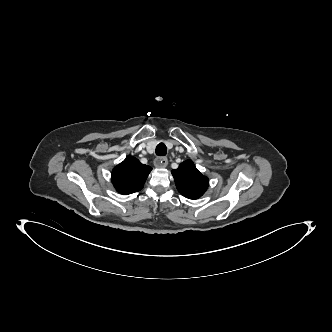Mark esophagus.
<instances>
[{
    "instance_id": "1",
    "label": "esophagus",
    "mask_w": 332,
    "mask_h": 332,
    "mask_svg": "<svg viewBox=\"0 0 332 332\" xmlns=\"http://www.w3.org/2000/svg\"><path fill=\"white\" fill-rule=\"evenodd\" d=\"M167 164H168V160L166 157H157L154 160V165L157 168H165L167 166Z\"/></svg>"
}]
</instances>
